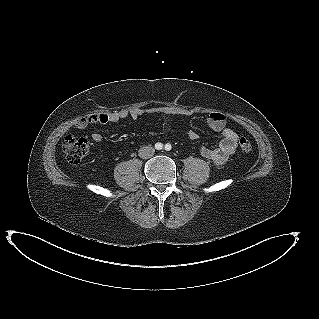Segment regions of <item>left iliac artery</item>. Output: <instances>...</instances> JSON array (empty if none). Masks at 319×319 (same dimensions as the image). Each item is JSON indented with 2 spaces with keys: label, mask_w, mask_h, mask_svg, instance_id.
Instances as JSON below:
<instances>
[{
  "label": "left iliac artery",
  "mask_w": 319,
  "mask_h": 319,
  "mask_svg": "<svg viewBox=\"0 0 319 319\" xmlns=\"http://www.w3.org/2000/svg\"><path fill=\"white\" fill-rule=\"evenodd\" d=\"M171 148H172L171 144L167 143V144L165 145V150H166V151H170Z\"/></svg>",
  "instance_id": "obj_1"
}]
</instances>
